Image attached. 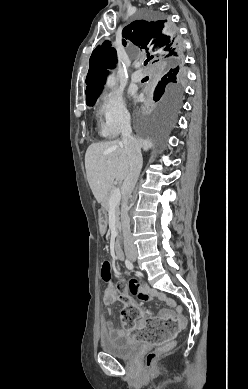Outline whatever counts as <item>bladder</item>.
<instances>
[{
	"instance_id": "obj_1",
	"label": "bladder",
	"mask_w": 248,
	"mask_h": 389,
	"mask_svg": "<svg viewBox=\"0 0 248 389\" xmlns=\"http://www.w3.org/2000/svg\"><path fill=\"white\" fill-rule=\"evenodd\" d=\"M99 344L102 352L117 358H130L139 347L138 343L118 333L101 336Z\"/></svg>"
}]
</instances>
